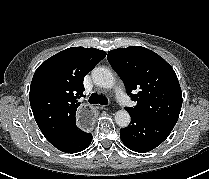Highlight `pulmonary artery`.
Here are the masks:
<instances>
[{
  "mask_svg": "<svg viewBox=\"0 0 209 179\" xmlns=\"http://www.w3.org/2000/svg\"><path fill=\"white\" fill-rule=\"evenodd\" d=\"M116 98L117 100L124 106H129L131 101L129 97L124 92L123 88L121 86H118L115 90Z\"/></svg>",
  "mask_w": 209,
  "mask_h": 179,
  "instance_id": "pulmonary-artery-1",
  "label": "pulmonary artery"
}]
</instances>
